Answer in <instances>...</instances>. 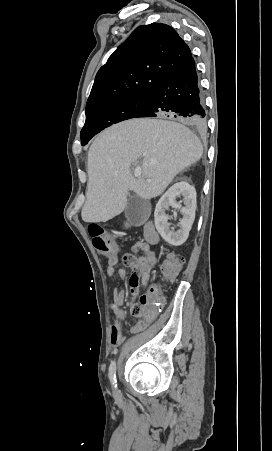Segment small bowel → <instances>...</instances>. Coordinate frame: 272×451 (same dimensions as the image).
<instances>
[{
	"instance_id": "c3829d8e",
	"label": "small bowel",
	"mask_w": 272,
	"mask_h": 451,
	"mask_svg": "<svg viewBox=\"0 0 272 451\" xmlns=\"http://www.w3.org/2000/svg\"><path fill=\"white\" fill-rule=\"evenodd\" d=\"M132 252H135L137 256H144L145 261H151V270H148V274H131L128 277V286L131 296L135 299L139 295L140 284H145L148 280L149 274L156 268L158 262L157 253L146 242H137L132 247ZM130 262V261H128ZM106 274L108 276H116L119 280L124 281L127 278V271L123 270H109L108 265L106 268ZM146 295V294H145ZM126 302V293L124 290L116 287L113 291V303L110 305V310L114 315L115 322L120 326L125 320V312L123 306ZM133 304V303H132ZM131 305V313L133 316H146L147 313H133Z\"/></svg>"
}]
</instances>
